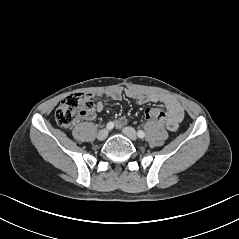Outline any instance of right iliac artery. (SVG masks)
<instances>
[{
  "instance_id": "right-iliac-artery-1",
  "label": "right iliac artery",
  "mask_w": 239,
  "mask_h": 239,
  "mask_svg": "<svg viewBox=\"0 0 239 239\" xmlns=\"http://www.w3.org/2000/svg\"><path fill=\"white\" fill-rule=\"evenodd\" d=\"M113 127H114V123H113V122H109V123L107 124V126H106V128H107L108 130L113 129Z\"/></svg>"
}]
</instances>
